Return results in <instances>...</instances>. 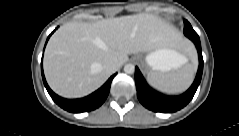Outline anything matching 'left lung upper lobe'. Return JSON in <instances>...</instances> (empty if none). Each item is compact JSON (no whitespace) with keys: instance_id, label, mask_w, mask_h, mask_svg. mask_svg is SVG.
<instances>
[{"instance_id":"left-lung-upper-lobe-1","label":"left lung upper lobe","mask_w":239,"mask_h":136,"mask_svg":"<svg viewBox=\"0 0 239 136\" xmlns=\"http://www.w3.org/2000/svg\"><path fill=\"white\" fill-rule=\"evenodd\" d=\"M184 34L187 36L190 32H195L187 20H184Z\"/></svg>"}]
</instances>
